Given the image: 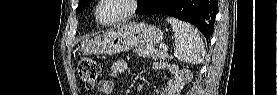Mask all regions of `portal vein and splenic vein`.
I'll return each mask as SVG.
<instances>
[{
	"mask_svg": "<svg viewBox=\"0 0 277 95\" xmlns=\"http://www.w3.org/2000/svg\"><path fill=\"white\" fill-rule=\"evenodd\" d=\"M160 49H163V50L166 51V50H167L166 45H165V44H161V45H160Z\"/></svg>",
	"mask_w": 277,
	"mask_h": 95,
	"instance_id": "obj_1",
	"label": "portal vein and splenic vein"
}]
</instances>
